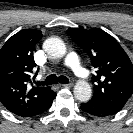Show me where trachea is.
<instances>
[{"label": "trachea", "mask_w": 133, "mask_h": 133, "mask_svg": "<svg viewBox=\"0 0 133 133\" xmlns=\"http://www.w3.org/2000/svg\"><path fill=\"white\" fill-rule=\"evenodd\" d=\"M59 81V83H63V84H68L69 82V79L63 75L57 77L55 74H52V75H49L45 81L43 82H37L36 84L38 86L40 85H52V84H55Z\"/></svg>", "instance_id": "obj_1"}]
</instances>
